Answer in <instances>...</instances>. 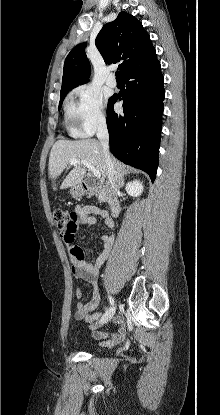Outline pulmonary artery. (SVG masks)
<instances>
[{"label":"pulmonary artery","instance_id":"pulmonary-artery-1","mask_svg":"<svg viewBox=\"0 0 220 415\" xmlns=\"http://www.w3.org/2000/svg\"><path fill=\"white\" fill-rule=\"evenodd\" d=\"M106 84H107L109 87H111V88L116 87V85H117V81H116V79H115V77H114L113 73H110V74L108 75V77H107V79H106Z\"/></svg>","mask_w":220,"mask_h":415}]
</instances>
